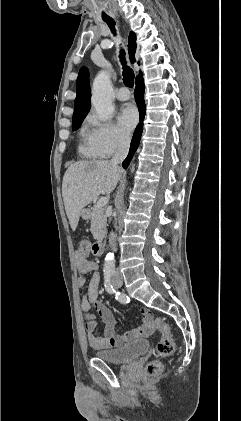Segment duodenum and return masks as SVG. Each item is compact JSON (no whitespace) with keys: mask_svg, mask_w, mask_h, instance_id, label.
<instances>
[{"mask_svg":"<svg viewBox=\"0 0 241 421\" xmlns=\"http://www.w3.org/2000/svg\"><path fill=\"white\" fill-rule=\"evenodd\" d=\"M95 249V255L101 256L103 255L105 251V243L102 237H97L94 242L92 243V246Z\"/></svg>","mask_w":241,"mask_h":421,"instance_id":"obj_1","label":"duodenum"}]
</instances>
